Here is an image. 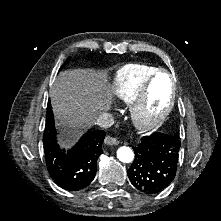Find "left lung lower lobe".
Wrapping results in <instances>:
<instances>
[{
	"instance_id": "0a47b994",
	"label": "left lung lower lobe",
	"mask_w": 221,
	"mask_h": 221,
	"mask_svg": "<svg viewBox=\"0 0 221 221\" xmlns=\"http://www.w3.org/2000/svg\"><path fill=\"white\" fill-rule=\"evenodd\" d=\"M181 141L179 135L155 132L134 147L135 159L128 169L132 185L142 193L156 194L174 179Z\"/></svg>"
}]
</instances>
